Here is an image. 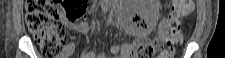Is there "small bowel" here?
I'll list each match as a JSON object with an SVG mask.
<instances>
[{
	"label": "small bowel",
	"instance_id": "1",
	"mask_svg": "<svg viewBox=\"0 0 225 58\" xmlns=\"http://www.w3.org/2000/svg\"><path fill=\"white\" fill-rule=\"evenodd\" d=\"M157 3V2H155ZM62 21L64 25L68 26L72 30L80 33V34H87L89 32V25L86 21H80L78 23H73L70 20L66 18H62ZM128 32L130 34H133L136 36L135 41L130 43H124V44H113L110 49L109 53H101V54H95L94 52H86L81 55V58H110L112 55L120 54V58H136L135 57V49L140 44L147 42V31H141L139 29L130 27L128 29ZM75 44L69 43L64 48L60 58H68L74 51Z\"/></svg>",
	"mask_w": 225,
	"mask_h": 58
}]
</instances>
